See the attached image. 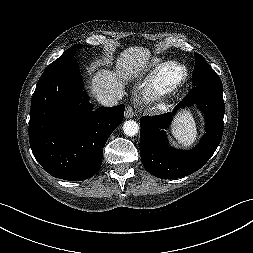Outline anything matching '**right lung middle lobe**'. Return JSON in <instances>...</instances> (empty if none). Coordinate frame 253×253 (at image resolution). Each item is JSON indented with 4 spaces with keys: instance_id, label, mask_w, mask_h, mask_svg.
Segmentation results:
<instances>
[{
    "instance_id": "1",
    "label": "right lung middle lobe",
    "mask_w": 253,
    "mask_h": 253,
    "mask_svg": "<svg viewBox=\"0 0 253 253\" xmlns=\"http://www.w3.org/2000/svg\"><path fill=\"white\" fill-rule=\"evenodd\" d=\"M81 46V44H75L69 50L64 52L58 59H56L54 62H52L47 68H51L53 66H56L58 64H61L62 62L67 61L70 57H72L75 53V51ZM46 68V69H47Z\"/></svg>"
}]
</instances>
